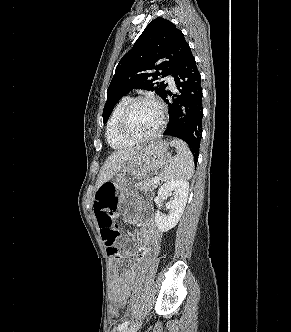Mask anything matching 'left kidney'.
Returning a JSON list of instances; mask_svg holds the SVG:
<instances>
[{"mask_svg": "<svg viewBox=\"0 0 291 332\" xmlns=\"http://www.w3.org/2000/svg\"><path fill=\"white\" fill-rule=\"evenodd\" d=\"M189 182L186 180H176L164 183L158 190V197L171 196L166 203L169 210L167 216L159 211L155 213V222L161 232H167L179 222L188 199Z\"/></svg>", "mask_w": 291, "mask_h": 332, "instance_id": "1", "label": "left kidney"}]
</instances>
